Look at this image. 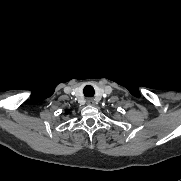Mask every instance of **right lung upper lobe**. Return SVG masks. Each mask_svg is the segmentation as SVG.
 <instances>
[{"mask_svg":"<svg viewBox=\"0 0 181 181\" xmlns=\"http://www.w3.org/2000/svg\"><path fill=\"white\" fill-rule=\"evenodd\" d=\"M65 113L68 114V113H69V110H66Z\"/></svg>","mask_w":181,"mask_h":181,"instance_id":"obj_1","label":"right lung upper lobe"}]
</instances>
